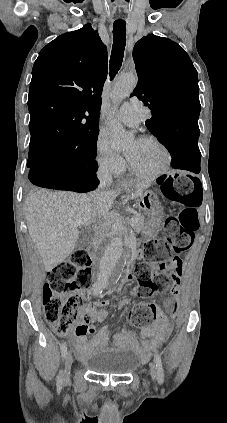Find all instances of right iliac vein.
Returning a JSON list of instances; mask_svg holds the SVG:
<instances>
[{
    "mask_svg": "<svg viewBox=\"0 0 227 423\" xmlns=\"http://www.w3.org/2000/svg\"><path fill=\"white\" fill-rule=\"evenodd\" d=\"M72 362H73L72 354L71 352H68L65 358V367H64V373L62 378L66 379L68 377Z\"/></svg>",
    "mask_w": 227,
    "mask_h": 423,
    "instance_id": "63e3f726",
    "label": "right iliac vein"
}]
</instances>
